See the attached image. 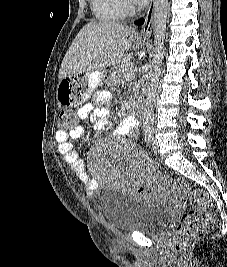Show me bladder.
I'll list each match as a JSON object with an SVG mask.
<instances>
[{"mask_svg": "<svg viewBox=\"0 0 227 267\" xmlns=\"http://www.w3.org/2000/svg\"><path fill=\"white\" fill-rule=\"evenodd\" d=\"M100 210L109 226L120 231L160 235L174 217L171 208L155 200H139L114 187H104Z\"/></svg>", "mask_w": 227, "mask_h": 267, "instance_id": "1", "label": "bladder"}]
</instances>
